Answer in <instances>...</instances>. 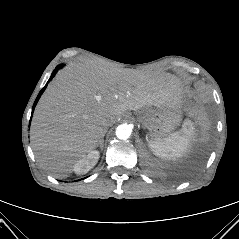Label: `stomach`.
<instances>
[{"mask_svg": "<svg viewBox=\"0 0 239 239\" xmlns=\"http://www.w3.org/2000/svg\"><path fill=\"white\" fill-rule=\"evenodd\" d=\"M182 113V105L161 106L144 112L140 121L149 130L151 140L166 138L180 124Z\"/></svg>", "mask_w": 239, "mask_h": 239, "instance_id": "1", "label": "stomach"}]
</instances>
